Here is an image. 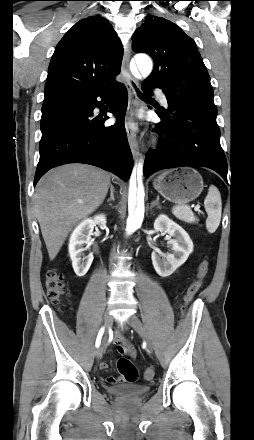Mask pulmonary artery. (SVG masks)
<instances>
[{"instance_id":"pulmonary-artery-1","label":"pulmonary artery","mask_w":254,"mask_h":440,"mask_svg":"<svg viewBox=\"0 0 254 440\" xmlns=\"http://www.w3.org/2000/svg\"><path fill=\"white\" fill-rule=\"evenodd\" d=\"M154 92L157 95V97L160 99L162 104L164 106H167L168 105L167 98H166V95L163 93V91L161 89H155Z\"/></svg>"}]
</instances>
